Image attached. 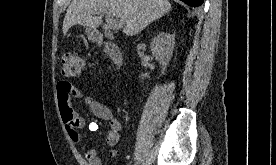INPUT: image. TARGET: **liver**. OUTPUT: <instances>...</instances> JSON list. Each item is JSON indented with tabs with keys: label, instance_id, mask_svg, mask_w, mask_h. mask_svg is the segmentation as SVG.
Here are the masks:
<instances>
[{
	"label": "liver",
	"instance_id": "1",
	"mask_svg": "<svg viewBox=\"0 0 276 165\" xmlns=\"http://www.w3.org/2000/svg\"><path fill=\"white\" fill-rule=\"evenodd\" d=\"M104 10L120 19L123 32L133 36L169 13L171 4L168 0H72L63 21L64 36L74 25L96 29L102 17L94 15Z\"/></svg>",
	"mask_w": 276,
	"mask_h": 165
}]
</instances>
